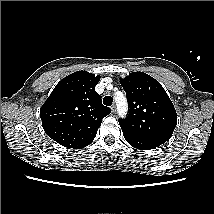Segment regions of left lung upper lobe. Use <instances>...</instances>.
Wrapping results in <instances>:
<instances>
[{
	"label": "left lung upper lobe",
	"mask_w": 214,
	"mask_h": 214,
	"mask_svg": "<svg viewBox=\"0 0 214 214\" xmlns=\"http://www.w3.org/2000/svg\"><path fill=\"white\" fill-rule=\"evenodd\" d=\"M120 82L129 104L127 118L119 120L122 132L159 144L169 140L177 114L162 85L143 72L130 73Z\"/></svg>",
	"instance_id": "obj_1"
}]
</instances>
